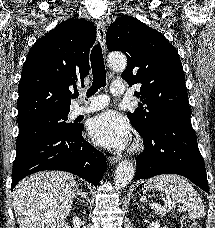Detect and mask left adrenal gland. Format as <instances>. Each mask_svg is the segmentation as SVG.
Masks as SVG:
<instances>
[{
    "label": "left adrenal gland",
    "instance_id": "1",
    "mask_svg": "<svg viewBox=\"0 0 215 228\" xmlns=\"http://www.w3.org/2000/svg\"><path fill=\"white\" fill-rule=\"evenodd\" d=\"M137 206H140V204H138V202H137Z\"/></svg>",
    "mask_w": 215,
    "mask_h": 228
}]
</instances>
